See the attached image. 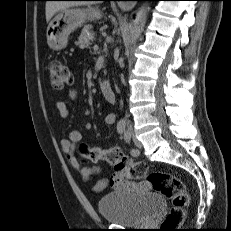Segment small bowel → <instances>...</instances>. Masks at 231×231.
Wrapping results in <instances>:
<instances>
[{"label":"small bowel","mask_w":231,"mask_h":231,"mask_svg":"<svg viewBox=\"0 0 231 231\" xmlns=\"http://www.w3.org/2000/svg\"><path fill=\"white\" fill-rule=\"evenodd\" d=\"M71 98L75 99L77 94L74 90L70 91ZM56 109L60 118H66L69 115L68 107L65 102L57 101ZM116 117L114 114H107L104 118V123L107 126H113L115 124ZM82 134L79 130H73L70 132L69 137L60 141V146L69 162L76 169L79 176L84 181L91 180L95 175L101 172V168L98 166L86 167L81 166L74 153L75 146L81 141ZM112 185L115 188L134 192V193H146L151 191V185L145 181H133L123 178L121 174H114L110 179H103L94 186L95 192L104 190L108 185Z\"/></svg>","instance_id":"c3829d8e"}]
</instances>
